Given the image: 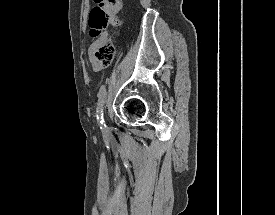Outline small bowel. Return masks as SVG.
I'll list each match as a JSON object with an SVG mask.
<instances>
[{
	"instance_id": "c3829d8e",
	"label": "small bowel",
	"mask_w": 275,
	"mask_h": 215,
	"mask_svg": "<svg viewBox=\"0 0 275 215\" xmlns=\"http://www.w3.org/2000/svg\"><path fill=\"white\" fill-rule=\"evenodd\" d=\"M98 43H99V39H96L93 42H91L88 46L89 61L93 64V68L96 71H99L102 69V66L98 65L95 59V50L98 46Z\"/></svg>"
}]
</instances>
